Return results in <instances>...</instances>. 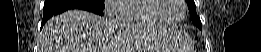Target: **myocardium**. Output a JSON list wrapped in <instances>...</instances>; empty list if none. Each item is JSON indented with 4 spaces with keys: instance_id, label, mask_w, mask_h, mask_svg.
Here are the masks:
<instances>
[{
    "instance_id": "obj_1",
    "label": "myocardium",
    "mask_w": 261,
    "mask_h": 52,
    "mask_svg": "<svg viewBox=\"0 0 261 52\" xmlns=\"http://www.w3.org/2000/svg\"><path fill=\"white\" fill-rule=\"evenodd\" d=\"M178 4L182 8V15L176 21H169V20H166L163 18V12L168 8V2H166L165 0H155L153 3V9L156 11L157 15L160 17V19L162 20V22L164 24L176 25V24L180 23L181 21H183V19L185 18V15H186V11H187L184 0H178Z\"/></svg>"
}]
</instances>
